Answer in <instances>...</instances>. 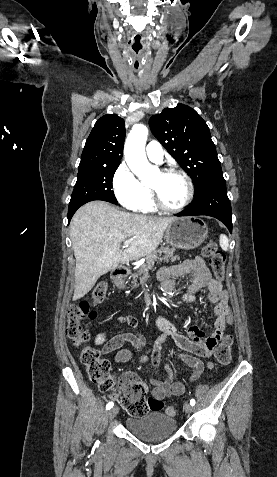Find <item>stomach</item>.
<instances>
[{
	"mask_svg": "<svg viewBox=\"0 0 277 477\" xmlns=\"http://www.w3.org/2000/svg\"><path fill=\"white\" fill-rule=\"evenodd\" d=\"M208 237L206 223L197 217L175 218L166 228L165 240L174 248L192 250Z\"/></svg>",
	"mask_w": 277,
	"mask_h": 477,
	"instance_id": "stomach-1",
	"label": "stomach"
}]
</instances>
